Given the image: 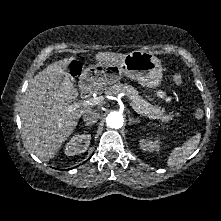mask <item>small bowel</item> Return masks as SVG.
I'll list each match as a JSON object with an SVG mask.
<instances>
[{
	"label": "small bowel",
	"instance_id": "obj_1",
	"mask_svg": "<svg viewBox=\"0 0 221 221\" xmlns=\"http://www.w3.org/2000/svg\"><path fill=\"white\" fill-rule=\"evenodd\" d=\"M157 96H158L159 98L163 99V100H166V101L168 100V98H167L165 92H163V91H161V90L157 91Z\"/></svg>",
	"mask_w": 221,
	"mask_h": 221
}]
</instances>
